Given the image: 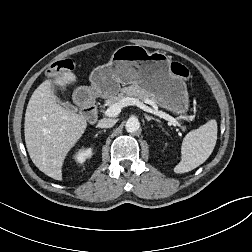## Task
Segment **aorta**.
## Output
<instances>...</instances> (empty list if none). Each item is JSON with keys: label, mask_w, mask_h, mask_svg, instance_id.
I'll return each instance as SVG.
<instances>
[{"label": "aorta", "mask_w": 252, "mask_h": 252, "mask_svg": "<svg viewBox=\"0 0 252 252\" xmlns=\"http://www.w3.org/2000/svg\"><path fill=\"white\" fill-rule=\"evenodd\" d=\"M125 128H126L127 132L134 133L139 130L140 123L137 118L131 117L127 120Z\"/></svg>", "instance_id": "obj_1"}]
</instances>
